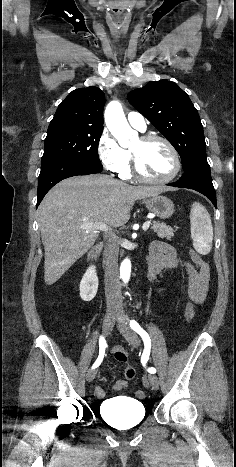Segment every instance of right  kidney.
<instances>
[{
  "label": "right kidney",
  "mask_w": 236,
  "mask_h": 467,
  "mask_svg": "<svg viewBox=\"0 0 236 467\" xmlns=\"http://www.w3.org/2000/svg\"><path fill=\"white\" fill-rule=\"evenodd\" d=\"M98 290V277L96 274V267L90 266L80 282V297L82 300L91 301Z\"/></svg>",
  "instance_id": "obj_1"
}]
</instances>
